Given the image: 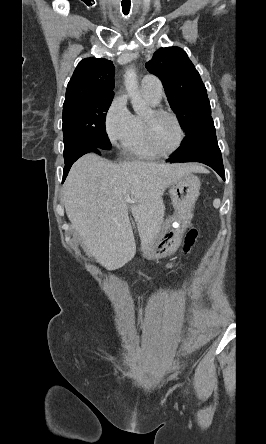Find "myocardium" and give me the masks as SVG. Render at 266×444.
Segmentation results:
<instances>
[{
    "label": "myocardium",
    "instance_id": "obj_1",
    "mask_svg": "<svg viewBox=\"0 0 266 444\" xmlns=\"http://www.w3.org/2000/svg\"><path fill=\"white\" fill-rule=\"evenodd\" d=\"M159 116L171 117L175 121L177 128H178L179 139H178L177 145L170 151L161 150L158 147V145L156 144L154 137H153V121L155 118H157ZM143 129H144L145 138H146V141H147L149 147L154 152L159 154L160 156H167V155H171V154L176 153L182 147L184 140H185V131H184V128L182 126V123H181L179 117L175 113H173L172 111H169L166 109H162V108L151 109L148 112V114L146 116H144V118H143Z\"/></svg>",
    "mask_w": 266,
    "mask_h": 444
}]
</instances>
